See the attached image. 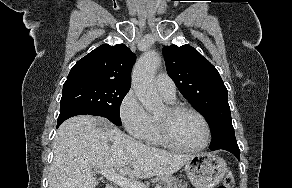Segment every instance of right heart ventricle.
<instances>
[{"label": "right heart ventricle", "mask_w": 292, "mask_h": 188, "mask_svg": "<svg viewBox=\"0 0 292 188\" xmlns=\"http://www.w3.org/2000/svg\"><path fill=\"white\" fill-rule=\"evenodd\" d=\"M167 100V99H166ZM170 103H173L174 100H167ZM145 141L149 144L152 145H163V141L161 140L158 130H157V125H156V118L151 117V125L150 128L144 137Z\"/></svg>", "instance_id": "right-heart-ventricle-1"}]
</instances>
